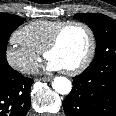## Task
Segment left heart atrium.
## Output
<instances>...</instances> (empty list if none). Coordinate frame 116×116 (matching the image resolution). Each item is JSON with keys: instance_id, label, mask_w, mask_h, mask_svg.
I'll return each mask as SVG.
<instances>
[{"instance_id": "39dd6f15", "label": "left heart atrium", "mask_w": 116, "mask_h": 116, "mask_svg": "<svg viewBox=\"0 0 116 116\" xmlns=\"http://www.w3.org/2000/svg\"><path fill=\"white\" fill-rule=\"evenodd\" d=\"M48 72L62 71L64 70L61 64L56 62L55 60L48 59L45 67Z\"/></svg>"}]
</instances>
